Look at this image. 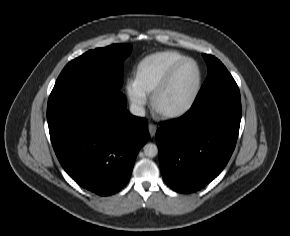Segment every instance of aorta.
Listing matches in <instances>:
<instances>
[{
	"instance_id": "obj_1",
	"label": "aorta",
	"mask_w": 290,
	"mask_h": 236,
	"mask_svg": "<svg viewBox=\"0 0 290 236\" xmlns=\"http://www.w3.org/2000/svg\"><path fill=\"white\" fill-rule=\"evenodd\" d=\"M144 154L148 157H155L158 154V147L153 143H147L143 147Z\"/></svg>"
}]
</instances>
